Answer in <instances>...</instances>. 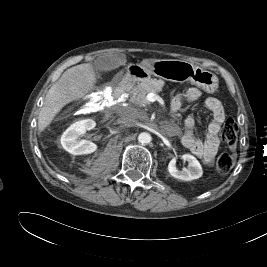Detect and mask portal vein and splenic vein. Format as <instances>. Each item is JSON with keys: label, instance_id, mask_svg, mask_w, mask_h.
Segmentation results:
<instances>
[{"label": "portal vein and splenic vein", "instance_id": "1", "mask_svg": "<svg viewBox=\"0 0 267 267\" xmlns=\"http://www.w3.org/2000/svg\"><path fill=\"white\" fill-rule=\"evenodd\" d=\"M146 100L148 102H155V101H159V102H162V98L160 96H158L157 94L151 92L149 94H147L146 96Z\"/></svg>", "mask_w": 267, "mask_h": 267}]
</instances>
